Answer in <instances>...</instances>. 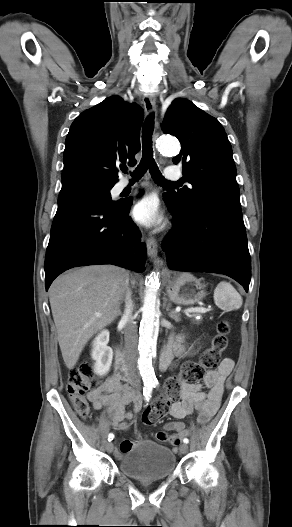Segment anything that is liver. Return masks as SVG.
I'll return each mask as SVG.
<instances>
[{
    "label": "liver",
    "mask_w": 292,
    "mask_h": 527,
    "mask_svg": "<svg viewBox=\"0 0 292 527\" xmlns=\"http://www.w3.org/2000/svg\"><path fill=\"white\" fill-rule=\"evenodd\" d=\"M127 286L128 273L113 265L75 269L52 283L49 301L68 369L74 368L89 339L117 318Z\"/></svg>",
    "instance_id": "6515ba94"
}]
</instances>
